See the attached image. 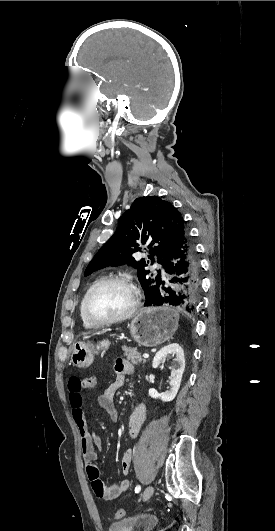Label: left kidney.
Masks as SVG:
<instances>
[{"mask_svg":"<svg viewBox=\"0 0 275 531\" xmlns=\"http://www.w3.org/2000/svg\"><path fill=\"white\" fill-rule=\"evenodd\" d=\"M167 355H176V361L177 365L175 369H172L171 371V379H170V389L169 391H165V393H157L155 389H149V395L152 397V399H161V401H165V403H168V401H173L175 399L179 387L181 385V379L182 375L184 373L185 369V359H184V351L180 345H177V343H172V345H167V347H162L158 353H156L152 367L153 369H157L159 365H161L162 359L164 357H167Z\"/></svg>","mask_w":275,"mask_h":531,"instance_id":"5707ae66","label":"left kidney"}]
</instances>
